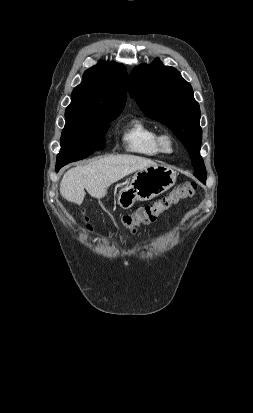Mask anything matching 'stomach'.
I'll return each instance as SVG.
<instances>
[{
	"mask_svg": "<svg viewBox=\"0 0 253 413\" xmlns=\"http://www.w3.org/2000/svg\"><path fill=\"white\" fill-rule=\"evenodd\" d=\"M176 182V172L164 167H147L137 171L130 185L118 193V203L124 208H131L136 201H148L170 189Z\"/></svg>",
	"mask_w": 253,
	"mask_h": 413,
	"instance_id": "0dacf381",
	"label": "stomach"
}]
</instances>
